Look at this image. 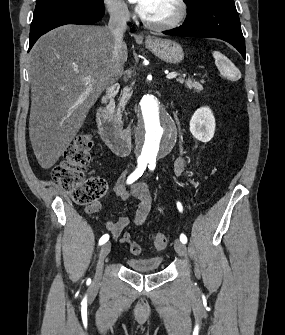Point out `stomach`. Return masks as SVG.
Masks as SVG:
<instances>
[{
  "label": "stomach",
  "mask_w": 285,
  "mask_h": 335,
  "mask_svg": "<svg viewBox=\"0 0 285 335\" xmlns=\"http://www.w3.org/2000/svg\"><path fill=\"white\" fill-rule=\"evenodd\" d=\"M146 48L167 64H180L184 60V52L177 42L161 40V38H147Z\"/></svg>",
  "instance_id": "obj_1"
}]
</instances>
